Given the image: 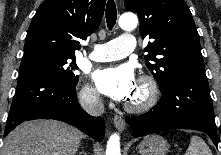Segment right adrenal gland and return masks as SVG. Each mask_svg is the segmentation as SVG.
I'll use <instances>...</instances> for the list:
<instances>
[{
    "instance_id": "right-adrenal-gland-1",
    "label": "right adrenal gland",
    "mask_w": 221,
    "mask_h": 155,
    "mask_svg": "<svg viewBox=\"0 0 221 155\" xmlns=\"http://www.w3.org/2000/svg\"><path fill=\"white\" fill-rule=\"evenodd\" d=\"M78 155H88V154L85 152L83 146L81 147V151L78 153Z\"/></svg>"
}]
</instances>
